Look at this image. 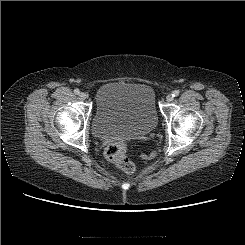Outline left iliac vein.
<instances>
[{"instance_id": "1", "label": "left iliac vein", "mask_w": 245, "mask_h": 245, "mask_svg": "<svg viewBox=\"0 0 245 245\" xmlns=\"http://www.w3.org/2000/svg\"><path fill=\"white\" fill-rule=\"evenodd\" d=\"M166 100H167L168 102H171V101L173 100V95H172V94H168V95L166 96Z\"/></svg>"}]
</instances>
